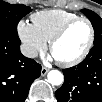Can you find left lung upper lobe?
Instances as JSON below:
<instances>
[{
    "instance_id": "obj_1",
    "label": "left lung upper lobe",
    "mask_w": 102,
    "mask_h": 102,
    "mask_svg": "<svg viewBox=\"0 0 102 102\" xmlns=\"http://www.w3.org/2000/svg\"><path fill=\"white\" fill-rule=\"evenodd\" d=\"M82 12L87 16V18L91 21L92 26L95 31V39L94 44L102 42V19L93 11L83 9Z\"/></svg>"
}]
</instances>
